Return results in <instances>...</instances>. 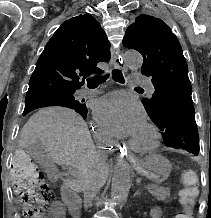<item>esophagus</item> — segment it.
<instances>
[{
  "instance_id": "esophagus-1",
  "label": "esophagus",
  "mask_w": 211,
  "mask_h": 218,
  "mask_svg": "<svg viewBox=\"0 0 211 218\" xmlns=\"http://www.w3.org/2000/svg\"><path fill=\"white\" fill-rule=\"evenodd\" d=\"M113 63L116 69L125 70L122 56L120 54L114 55ZM119 142L122 144L124 141L121 139ZM114 150H117V152L120 153V155L118 156L119 160H126V163L131 164V167H141V164L138 163V160L134 159L133 153L131 152L130 148H126L125 145H114Z\"/></svg>"
}]
</instances>
